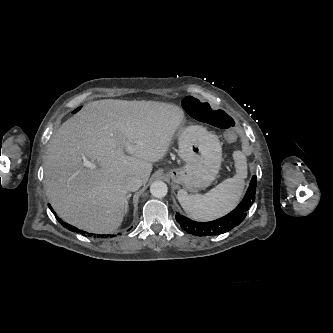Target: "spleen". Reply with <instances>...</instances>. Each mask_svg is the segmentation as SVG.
<instances>
[{
	"instance_id": "spleen-1",
	"label": "spleen",
	"mask_w": 333,
	"mask_h": 333,
	"mask_svg": "<svg viewBox=\"0 0 333 333\" xmlns=\"http://www.w3.org/2000/svg\"><path fill=\"white\" fill-rule=\"evenodd\" d=\"M236 175L218 184L204 195H191L179 190L178 201L184 211L193 219L210 221L230 212L239 202L247 177V163L243 152L233 153Z\"/></svg>"
}]
</instances>
